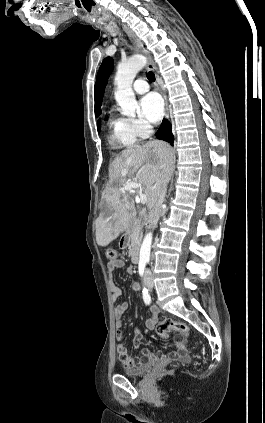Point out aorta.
<instances>
[{"instance_id":"1","label":"aorta","mask_w":265,"mask_h":423,"mask_svg":"<svg viewBox=\"0 0 265 423\" xmlns=\"http://www.w3.org/2000/svg\"><path fill=\"white\" fill-rule=\"evenodd\" d=\"M146 57L142 55H134L126 62L120 63L115 76V100L121 107V113L126 116H134L138 110V102L132 89V83L136 74L145 66ZM152 246V233L149 232L143 239L139 262L146 264L150 260V252Z\"/></svg>"}]
</instances>
